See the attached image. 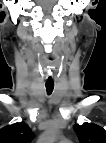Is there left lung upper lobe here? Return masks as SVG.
Wrapping results in <instances>:
<instances>
[{"label":"left lung upper lobe","mask_w":106,"mask_h":143,"mask_svg":"<svg viewBox=\"0 0 106 143\" xmlns=\"http://www.w3.org/2000/svg\"><path fill=\"white\" fill-rule=\"evenodd\" d=\"M80 143H106V131L93 123L73 126Z\"/></svg>","instance_id":"obj_1"}]
</instances>
